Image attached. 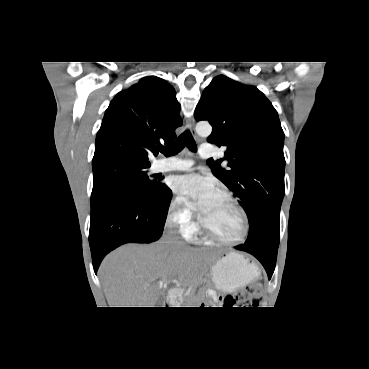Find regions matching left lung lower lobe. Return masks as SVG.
Masks as SVG:
<instances>
[{
  "label": "left lung lower lobe",
  "instance_id": "obj_1",
  "mask_svg": "<svg viewBox=\"0 0 369 369\" xmlns=\"http://www.w3.org/2000/svg\"><path fill=\"white\" fill-rule=\"evenodd\" d=\"M235 249L248 252L253 256H255L264 266L268 274V278L269 279L271 278L275 269L278 245L275 244L249 245L244 243L243 245L236 246Z\"/></svg>",
  "mask_w": 369,
  "mask_h": 369
}]
</instances>
